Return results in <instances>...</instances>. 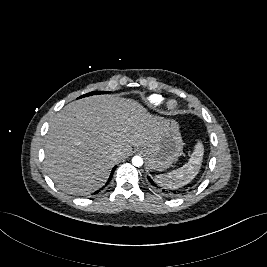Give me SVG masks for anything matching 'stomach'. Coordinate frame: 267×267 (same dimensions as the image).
Instances as JSON below:
<instances>
[{"label": "stomach", "instance_id": "0dacf381", "mask_svg": "<svg viewBox=\"0 0 267 267\" xmlns=\"http://www.w3.org/2000/svg\"><path fill=\"white\" fill-rule=\"evenodd\" d=\"M162 128L155 143L142 150L149 170L167 169L182 154L183 141L179 125L172 119L161 118Z\"/></svg>", "mask_w": 267, "mask_h": 267}]
</instances>
